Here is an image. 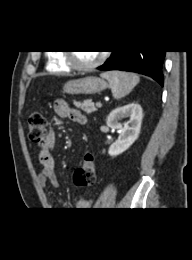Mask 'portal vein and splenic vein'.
Here are the masks:
<instances>
[{"mask_svg":"<svg viewBox=\"0 0 192 260\" xmlns=\"http://www.w3.org/2000/svg\"><path fill=\"white\" fill-rule=\"evenodd\" d=\"M96 106H97V107H102V103H101V102H97V103H96Z\"/></svg>","mask_w":192,"mask_h":260,"instance_id":"1","label":"portal vein and splenic vein"}]
</instances>
